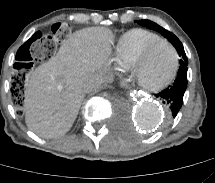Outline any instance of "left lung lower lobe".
<instances>
[{
	"label": "left lung lower lobe",
	"mask_w": 215,
	"mask_h": 183,
	"mask_svg": "<svg viewBox=\"0 0 215 183\" xmlns=\"http://www.w3.org/2000/svg\"><path fill=\"white\" fill-rule=\"evenodd\" d=\"M187 65H180L174 83L156 94V97L167 106L168 119L175 118L182 106L183 96L187 87Z\"/></svg>",
	"instance_id": "left-lung-lower-lobe-1"
}]
</instances>
